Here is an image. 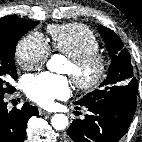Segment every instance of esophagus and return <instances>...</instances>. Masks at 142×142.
<instances>
[{"label": "esophagus", "instance_id": "34e87169", "mask_svg": "<svg viewBox=\"0 0 142 142\" xmlns=\"http://www.w3.org/2000/svg\"><path fill=\"white\" fill-rule=\"evenodd\" d=\"M39 114H40V115H50L51 113L48 112V111H45V110L40 109V110H39Z\"/></svg>", "mask_w": 142, "mask_h": 142}]
</instances>
